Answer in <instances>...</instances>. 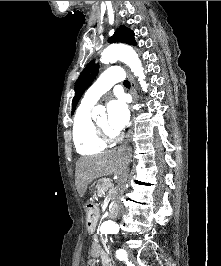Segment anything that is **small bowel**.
<instances>
[{"instance_id": "1", "label": "small bowel", "mask_w": 221, "mask_h": 266, "mask_svg": "<svg viewBox=\"0 0 221 266\" xmlns=\"http://www.w3.org/2000/svg\"><path fill=\"white\" fill-rule=\"evenodd\" d=\"M91 259L89 260V266H95V257H100L103 266H113L107 250L102 246L99 238L94 236L91 240Z\"/></svg>"}]
</instances>
